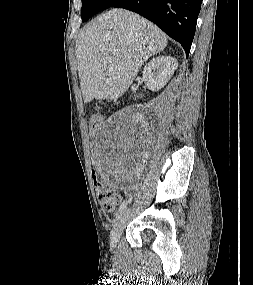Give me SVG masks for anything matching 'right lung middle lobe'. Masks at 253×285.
<instances>
[{"label": "right lung middle lobe", "mask_w": 253, "mask_h": 285, "mask_svg": "<svg viewBox=\"0 0 253 285\" xmlns=\"http://www.w3.org/2000/svg\"><path fill=\"white\" fill-rule=\"evenodd\" d=\"M118 0H82L81 18L87 21L99 11L110 8Z\"/></svg>", "instance_id": "obj_1"}]
</instances>
